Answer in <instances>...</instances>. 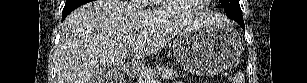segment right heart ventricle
Here are the masks:
<instances>
[{"label": "right heart ventricle", "mask_w": 307, "mask_h": 83, "mask_svg": "<svg viewBox=\"0 0 307 83\" xmlns=\"http://www.w3.org/2000/svg\"><path fill=\"white\" fill-rule=\"evenodd\" d=\"M163 5H164V7H166V6H165V1H164ZM157 7L160 8L161 6L157 5Z\"/></svg>", "instance_id": "e07e8e85"}]
</instances>
